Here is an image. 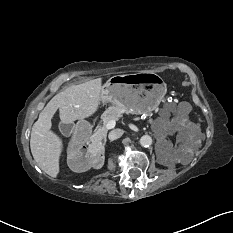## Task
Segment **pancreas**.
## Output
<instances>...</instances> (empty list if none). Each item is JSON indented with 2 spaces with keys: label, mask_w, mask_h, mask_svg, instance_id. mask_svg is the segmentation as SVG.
I'll return each instance as SVG.
<instances>
[{
  "label": "pancreas",
  "mask_w": 233,
  "mask_h": 233,
  "mask_svg": "<svg viewBox=\"0 0 233 233\" xmlns=\"http://www.w3.org/2000/svg\"><path fill=\"white\" fill-rule=\"evenodd\" d=\"M129 113L125 108L118 107V106H111L109 107L103 114H102V125L96 130L94 133V138L103 136L107 129L105 125L111 120H118L122 117V113Z\"/></svg>",
  "instance_id": "pancreas-1"
}]
</instances>
